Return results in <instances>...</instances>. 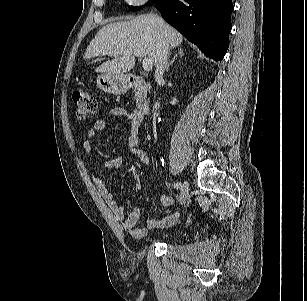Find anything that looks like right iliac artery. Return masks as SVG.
Wrapping results in <instances>:
<instances>
[{
	"mask_svg": "<svg viewBox=\"0 0 307 301\" xmlns=\"http://www.w3.org/2000/svg\"><path fill=\"white\" fill-rule=\"evenodd\" d=\"M174 187H175L176 189H182V184H181V182H175V183H174Z\"/></svg>",
	"mask_w": 307,
	"mask_h": 301,
	"instance_id": "right-iliac-artery-1",
	"label": "right iliac artery"
}]
</instances>
